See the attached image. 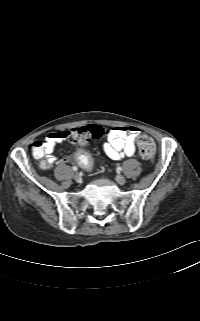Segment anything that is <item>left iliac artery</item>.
<instances>
[{"label":"left iliac artery","mask_w":200,"mask_h":321,"mask_svg":"<svg viewBox=\"0 0 200 321\" xmlns=\"http://www.w3.org/2000/svg\"><path fill=\"white\" fill-rule=\"evenodd\" d=\"M117 171H118V172L122 171V167H120V166L117 167Z\"/></svg>","instance_id":"1"}]
</instances>
